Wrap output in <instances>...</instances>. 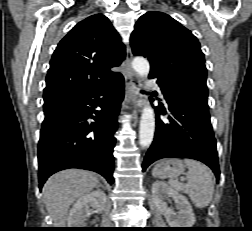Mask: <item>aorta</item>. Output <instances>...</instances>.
I'll return each instance as SVG.
<instances>
[{
  "mask_svg": "<svg viewBox=\"0 0 252 231\" xmlns=\"http://www.w3.org/2000/svg\"><path fill=\"white\" fill-rule=\"evenodd\" d=\"M132 67L141 77H147L150 71L149 62L143 57H136L132 61ZM155 132V114L151 106L147 105L143 108L140 128H139V144L142 148H148L154 137Z\"/></svg>",
  "mask_w": 252,
  "mask_h": 231,
  "instance_id": "1",
  "label": "aorta"
}]
</instances>
